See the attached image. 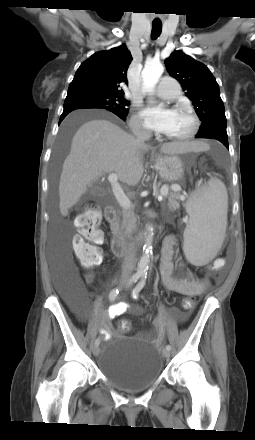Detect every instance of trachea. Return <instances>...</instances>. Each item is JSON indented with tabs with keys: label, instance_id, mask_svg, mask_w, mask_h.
<instances>
[{
	"label": "trachea",
	"instance_id": "obj_1",
	"mask_svg": "<svg viewBox=\"0 0 255 440\" xmlns=\"http://www.w3.org/2000/svg\"><path fill=\"white\" fill-rule=\"evenodd\" d=\"M162 31V23H152V38L156 39Z\"/></svg>",
	"mask_w": 255,
	"mask_h": 440
}]
</instances>
